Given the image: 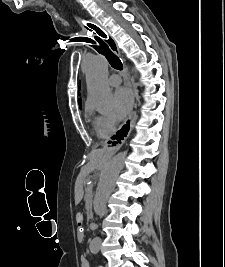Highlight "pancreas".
Here are the masks:
<instances>
[{
    "instance_id": "pancreas-1",
    "label": "pancreas",
    "mask_w": 225,
    "mask_h": 267,
    "mask_svg": "<svg viewBox=\"0 0 225 267\" xmlns=\"http://www.w3.org/2000/svg\"><path fill=\"white\" fill-rule=\"evenodd\" d=\"M85 201L87 204H91V201H92V193H91V189L90 188H87L86 189V194H85V197H84Z\"/></svg>"
}]
</instances>
